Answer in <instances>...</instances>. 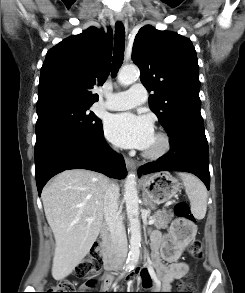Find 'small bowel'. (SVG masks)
<instances>
[{
	"mask_svg": "<svg viewBox=\"0 0 245 293\" xmlns=\"http://www.w3.org/2000/svg\"><path fill=\"white\" fill-rule=\"evenodd\" d=\"M183 242H177L170 233L162 235L159 232L150 233L151 263L138 271L143 288L151 287V280L155 277V271L159 276V284L165 291L169 290L172 283L183 277L188 271L185 262L177 261L182 250ZM164 261L169 264H164ZM131 284V276L126 278V285ZM114 285L111 275L105 277L103 289L108 290Z\"/></svg>",
	"mask_w": 245,
	"mask_h": 293,
	"instance_id": "c3829d8e",
	"label": "small bowel"
}]
</instances>
